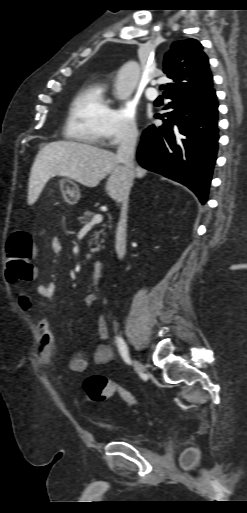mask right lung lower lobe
Here are the masks:
<instances>
[{
    "mask_svg": "<svg viewBox=\"0 0 247 513\" xmlns=\"http://www.w3.org/2000/svg\"><path fill=\"white\" fill-rule=\"evenodd\" d=\"M163 125L144 130L138 161L190 188L204 204L218 150V102L214 88L198 94L168 95Z\"/></svg>",
    "mask_w": 247,
    "mask_h": 513,
    "instance_id": "right-lung-lower-lobe-1",
    "label": "right lung lower lobe"
}]
</instances>
